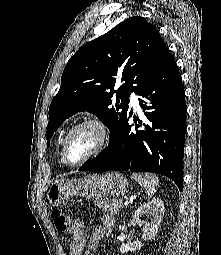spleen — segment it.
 <instances>
[{"label": "spleen", "mask_w": 221, "mask_h": 255, "mask_svg": "<svg viewBox=\"0 0 221 255\" xmlns=\"http://www.w3.org/2000/svg\"><path fill=\"white\" fill-rule=\"evenodd\" d=\"M131 179L135 180L140 184V186L145 190V193L148 198L154 196L159 186V179L155 174L151 173H134L131 176Z\"/></svg>", "instance_id": "obj_1"}]
</instances>
